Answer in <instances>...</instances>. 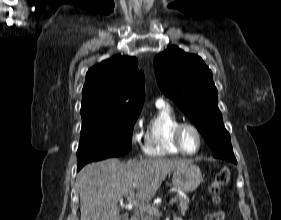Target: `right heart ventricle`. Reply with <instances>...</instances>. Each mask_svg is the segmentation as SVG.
<instances>
[{"mask_svg": "<svg viewBox=\"0 0 281 220\" xmlns=\"http://www.w3.org/2000/svg\"><path fill=\"white\" fill-rule=\"evenodd\" d=\"M179 123V118L167 103L157 102L156 111L147 125L144 153L151 157L181 154L172 138L173 130Z\"/></svg>", "mask_w": 281, "mask_h": 220, "instance_id": "1", "label": "right heart ventricle"}]
</instances>
